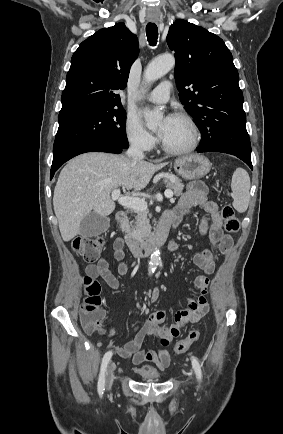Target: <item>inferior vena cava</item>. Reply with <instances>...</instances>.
<instances>
[{
	"label": "inferior vena cava",
	"instance_id": "602c4592",
	"mask_svg": "<svg viewBox=\"0 0 283 434\" xmlns=\"http://www.w3.org/2000/svg\"><path fill=\"white\" fill-rule=\"evenodd\" d=\"M127 156L133 161L142 160L144 158L143 150L140 146L132 144L126 152Z\"/></svg>",
	"mask_w": 283,
	"mask_h": 434
}]
</instances>
